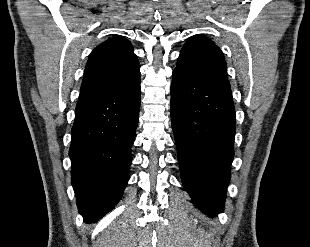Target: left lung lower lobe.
Masks as SVG:
<instances>
[{
	"label": "left lung lower lobe",
	"instance_id": "obj_1",
	"mask_svg": "<svg viewBox=\"0 0 310 247\" xmlns=\"http://www.w3.org/2000/svg\"><path fill=\"white\" fill-rule=\"evenodd\" d=\"M171 123L182 183L206 214L223 211L234 156L230 86L173 71Z\"/></svg>",
	"mask_w": 310,
	"mask_h": 247
}]
</instances>
